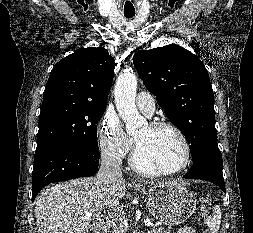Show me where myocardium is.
<instances>
[{
  "mask_svg": "<svg viewBox=\"0 0 253 233\" xmlns=\"http://www.w3.org/2000/svg\"><path fill=\"white\" fill-rule=\"evenodd\" d=\"M149 127L153 131H158V130H170L172 131L180 140L182 147H183V160L182 162L173 169H168V170H153V169H147L141 165V163L138 160V145L137 142L135 141L131 158H130V163L131 166L140 174L144 176H149V177H161V176H171L178 174L182 171H184L188 165L190 164L191 161V146L189 144V141L183 131L178 128L176 125L169 123V122H164V121H155L149 124Z\"/></svg>",
  "mask_w": 253,
  "mask_h": 233,
  "instance_id": "1",
  "label": "myocardium"
}]
</instances>
